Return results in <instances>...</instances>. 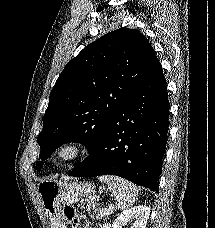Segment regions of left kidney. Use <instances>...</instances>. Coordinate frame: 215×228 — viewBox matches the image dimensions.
I'll return each mask as SVG.
<instances>
[{
	"label": "left kidney",
	"mask_w": 215,
	"mask_h": 228,
	"mask_svg": "<svg viewBox=\"0 0 215 228\" xmlns=\"http://www.w3.org/2000/svg\"><path fill=\"white\" fill-rule=\"evenodd\" d=\"M149 216L150 208L148 206H135V208L121 212L113 222L112 228H124L127 224H131L130 228H146Z\"/></svg>",
	"instance_id": "left-kidney-1"
}]
</instances>
